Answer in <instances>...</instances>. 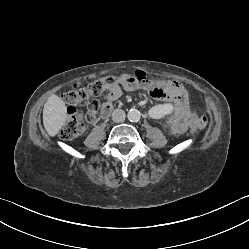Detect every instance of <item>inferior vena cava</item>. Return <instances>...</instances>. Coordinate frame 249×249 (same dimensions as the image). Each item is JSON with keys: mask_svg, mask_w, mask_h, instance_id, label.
I'll use <instances>...</instances> for the list:
<instances>
[{"mask_svg": "<svg viewBox=\"0 0 249 249\" xmlns=\"http://www.w3.org/2000/svg\"><path fill=\"white\" fill-rule=\"evenodd\" d=\"M126 114L122 109H115L112 113V120L116 123H121L125 120Z\"/></svg>", "mask_w": 249, "mask_h": 249, "instance_id": "1", "label": "inferior vena cava"}]
</instances>
